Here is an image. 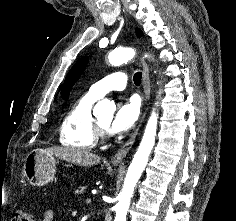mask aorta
<instances>
[{
    "mask_svg": "<svg viewBox=\"0 0 236 221\" xmlns=\"http://www.w3.org/2000/svg\"><path fill=\"white\" fill-rule=\"evenodd\" d=\"M135 55V50L132 48H120L112 51L109 54V63L113 66L121 65L131 60ZM116 106L108 99L99 101L93 110L96 117L113 116ZM158 114L153 110L147 122L144 135L137 152L128 168L122 191L116 204V217L114 221H126V215L129 208L130 200L133 196L134 188L144 171L149 155L155 144V136L157 132Z\"/></svg>",
    "mask_w": 236,
    "mask_h": 221,
    "instance_id": "762f6f07",
    "label": "aorta"
}]
</instances>
